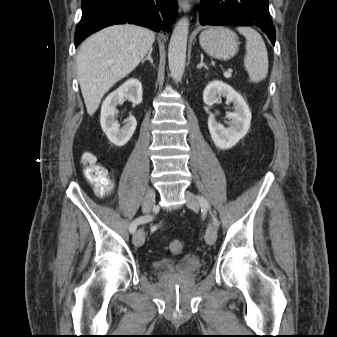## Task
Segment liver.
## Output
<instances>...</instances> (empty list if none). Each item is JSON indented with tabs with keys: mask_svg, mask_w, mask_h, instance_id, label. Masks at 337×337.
<instances>
[{
	"mask_svg": "<svg viewBox=\"0 0 337 337\" xmlns=\"http://www.w3.org/2000/svg\"><path fill=\"white\" fill-rule=\"evenodd\" d=\"M153 31L136 25H114L90 36L77 56L78 80L89 115L104 94L131 73L152 48Z\"/></svg>",
	"mask_w": 337,
	"mask_h": 337,
	"instance_id": "1",
	"label": "liver"
}]
</instances>
